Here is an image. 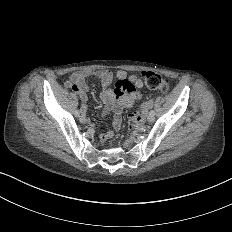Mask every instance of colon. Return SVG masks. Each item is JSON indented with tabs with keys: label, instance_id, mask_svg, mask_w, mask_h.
Returning <instances> with one entry per match:
<instances>
[{
	"label": "colon",
	"instance_id": "1",
	"mask_svg": "<svg viewBox=\"0 0 232 232\" xmlns=\"http://www.w3.org/2000/svg\"><path fill=\"white\" fill-rule=\"evenodd\" d=\"M148 81L146 86H150V91L153 92V97H164V95H171V90H167L168 86H172V81H165L158 71L148 72ZM140 80H146V75H140ZM131 125L136 130H141L146 125V120L141 115H136L131 120Z\"/></svg>",
	"mask_w": 232,
	"mask_h": 232
}]
</instances>
